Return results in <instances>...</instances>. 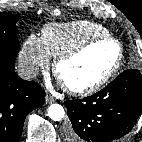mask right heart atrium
Wrapping results in <instances>:
<instances>
[{"label":"right heart atrium","instance_id":"right-heart-atrium-1","mask_svg":"<svg viewBox=\"0 0 142 142\" xmlns=\"http://www.w3.org/2000/svg\"><path fill=\"white\" fill-rule=\"evenodd\" d=\"M19 61L25 76L33 77L39 69L49 67L50 55L44 48L41 39L31 35L21 47Z\"/></svg>","mask_w":142,"mask_h":142}]
</instances>
